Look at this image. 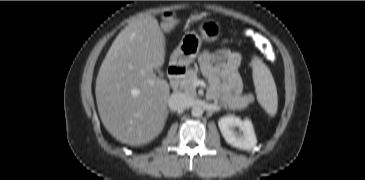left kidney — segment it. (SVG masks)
<instances>
[{
    "label": "left kidney",
    "mask_w": 365,
    "mask_h": 180,
    "mask_svg": "<svg viewBox=\"0 0 365 180\" xmlns=\"http://www.w3.org/2000/svg\"><path fill=\"white\" fill-rule=\"evenodd\" d=\"M218 126L226 142L233 147L249 150L257 143L254 128L249 119L241 120L239 117L230 115L220 118Z\"/></svg>",
    "instance_id": "obj_1"
}]
</instances>
